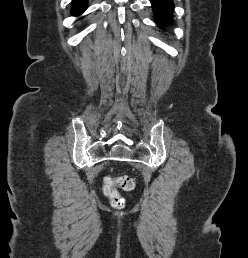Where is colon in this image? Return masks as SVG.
<instances>
[{"mask_svg": "<svg viewBox=\"0 0 248 258\" xmlns=\"http://www.w3.org/2000/svg\"><path fill=\"white\" fill-rule=\"evenodd\" d=\"M117 187H120L124 191H133L136 187L135 179L128 175H123L116 179L105 178L103 188L105 195L109 198L113 206L122 207L125 201L118 192Z\"/></svg>", "mask_w": 248, "mask_h": 258, "instance_id": "1", "label": "colon"}]
</instances>
